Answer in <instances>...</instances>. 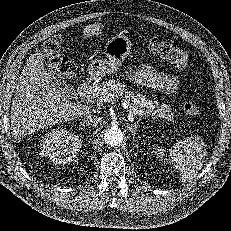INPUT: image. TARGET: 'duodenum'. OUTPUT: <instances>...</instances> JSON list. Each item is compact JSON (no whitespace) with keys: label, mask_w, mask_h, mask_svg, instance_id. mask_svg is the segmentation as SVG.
<instances>
[{"label":"duodenum","mask_w":231,"mask_h":231,"mask_svg":"<svg viewBox=\"0 0 231 231\" xmlns=\"http://www.w3.org/2000/svg\"><path fill=\"white\" fill-rule=\"evenodd\" d=\"M94 81L92 79H89L85 82H83L79 87H78V94L81 96V97H85L87 95H89L93 88H94Z\"/></svg>","instance_id":"410a0bca"}]
</instances>
